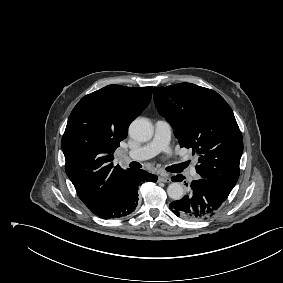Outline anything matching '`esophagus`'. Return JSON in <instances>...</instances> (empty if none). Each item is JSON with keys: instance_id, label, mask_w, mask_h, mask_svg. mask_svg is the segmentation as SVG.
<instances>
[{"instance_id": "esophagus-1", "label": "esophagus", "mask_w": 283, "mask_h": 283, "mask_svg": "<svg viewBox=\"0 0 283 283\" xmlns=\"http://www.w3.org/2000/svg\"><path fill=\"white\" fill-rule=\"evenodd\" d=\"M159 181L164 182V183H170L171 178L168 177L167 175L162 174L159 176Z\"/></svg>"}]
</instances>
